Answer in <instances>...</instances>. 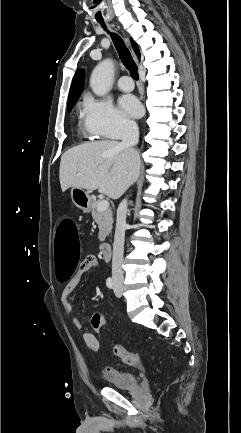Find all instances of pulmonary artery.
<instances>
[{"label":"pulmonary artery","instance_id":"1","mask_svg":"<svg viewBox=\"0 0 241 433\" xmlns=\"http://www.w3.org/2000/svg\"><path fill=\"white\" fill-rule=\"evenodd\" d=\"M117 85L122 91H131L134 88L131 78L126 75L119 78Z\"/></svg>","mask_w":241,"mask_h":433}]
</instances>
